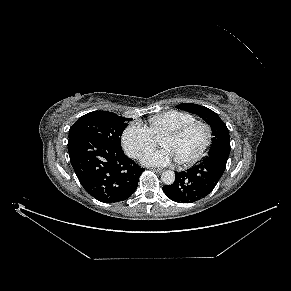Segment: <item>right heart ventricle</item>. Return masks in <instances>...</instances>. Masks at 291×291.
Segmentation results:
<instances>
[{"instance_id": "e07e8e85", "label": "right heart ventricle", "mask_w": 291, "mask_h": 291, "mask_svg": "<svg viewBox=\"0 0 291 291\" xmlns=\"http://www.w3.org/2000/svg\"><path fill=\"white\" fill-rule=\"evenodd\" d=\"M196 120V117L191 113L169 110L150 118L149 129L158 139L162 138L167 132Z\"/></svg>"}]
</instances>
